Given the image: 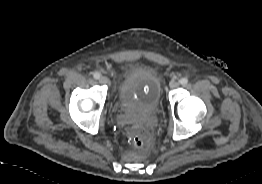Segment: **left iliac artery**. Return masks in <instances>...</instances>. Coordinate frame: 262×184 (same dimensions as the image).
Returning <instances> with one entry per match:
<instances>
[{
	"mask_svg": "<svg viewBox=\"0 0 262 184\" xmlns=\"http://www.w3.org/2000/svg\"><path fill=\"white\" fill-rule=\"evenodd\" d=\"M188 83V79L187 78H182V79H180V84L181 85H186Z\"/></svg>",
	"mask_w": 262,
	"mask_h": 184,
	"instance_id": "left-iliac-artery-1",
	"label": "left iliac artery"
}]
</instances>
